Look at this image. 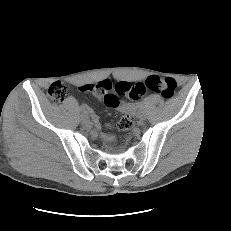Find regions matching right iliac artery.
Segmentation results:
<instances>
[{
    "label": "right iliac artery",
    "instance_id": "1",
    "mask_svg": "<svg viewBox=\"0 0 231 231\" xmlns=\"http://www.w3.org/2000/svg\"><path fill=\"white\" fill-rule=\"evenodd\" d=\"M80 110H81L83 113H86L87 110H88V108H87L86 106L82 105V106L80 107Z\"/></svg>",
    "mask_w": 231,
    "mask_h": 231
}]
</instances>
